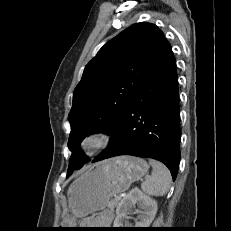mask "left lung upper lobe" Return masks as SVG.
<instances>
[{
  "label": "left lung upper lobe",
  "instance_id": "5c2ea615",
  "mask_svg": "<svg viewBox=\"0 0 231 231\" xmlns=\"http://www.w3.org/2000/svg\"><path fill=\"white\" fill-rule=\"evenodd\" d=\"M165 41L156 25L136 23L107 42L86 65L68 117L72 155L67 176L87 160L78 151L86 135L112 132Z\"/></svg>",
  "mask_w": 231,
  "mask_h": 231
}]
</instances>
